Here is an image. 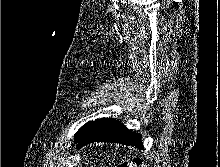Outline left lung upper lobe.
I'll return each mask as SVG.
<instances>
[{
	"label": "left lung upper lobe",
	"instance_id": "obj_1",
	"mask_svg": "<svg viewBox=\"0 0 220 167\" xmlns=\"http://www.w3.org/2000/svg\"><path fill=\"white\" fill-rule=\"evenodd\" d=\"M93 123L94 121H90L82 126L75 135V141L79 140Z\"/></svg>",
	"mask_w": 220,
	"mask_h": 167
}]
</instances>
